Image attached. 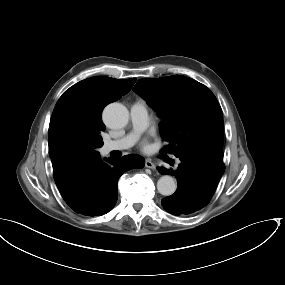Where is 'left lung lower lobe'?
<instances>
[{
  "label": "left lung lower lobe",
  "mask_w": 285,
  "mask_h": 285,
  "mask_svg": "<svg viewBox=\"0 0 285 285\" xmlns=\"http://www.w3.org/2000/svg\"><path fill=\"white\" fill-rule=\"evenodd\" d=\"M176 171L158 167L161 174L178 178L175 193L161 200L164 209L173 215H190L204 208L213 196L225 170L223 160L208 155L178 156Z\"/></svg>",
  "instance_id": "0a47b994"
}]
</instances>
